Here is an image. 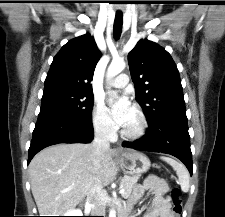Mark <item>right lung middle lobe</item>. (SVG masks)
Instances as JSON below:
<instances>
[{"instance_id": "dd1d6c3e", "label": "right lung middle lobe", "mask_w": 225, "mask_h": 217, "mask_svg": "<svg viewBox=\"0 0 225 217\" xmlns=\"http://www.w3.org/2000/svg\"><path fill=\"white\" fill-rule=\"evenodd\" d=\"M94 103L92 94L69 91L43 93L40 113H55L75 119L91 116Z\"/></svg>"}]
</instances>
